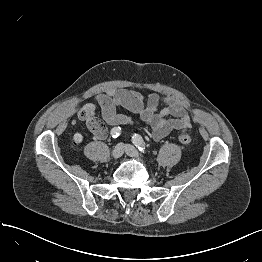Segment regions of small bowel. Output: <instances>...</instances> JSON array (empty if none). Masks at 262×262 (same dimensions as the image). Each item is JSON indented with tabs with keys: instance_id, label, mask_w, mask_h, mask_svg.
Instances as JSON below:
<instances>
[{
	"instance_id": "1",
	"label": "small bowel",
	"mask_w": 262,
	"mask_h": 262,
	"mask_svg": "<svg viewBox=\"0 0 262 262\" xmlns=\"http://www.w3.org/2000/svg\"><path fill=\"white\" fill-rule=\"evenodd\" d=\"M163 99L155 92L145 99L139 92L127 89L107 88L95 97L96 104L102 110L104 121L115 127L144 122L150 126L152 137L159 141L173 130L191 126V117L185 108V102L177 95L164 99L165 106L158 109ZM117 108H124L130 114L119 113ZM96 105L86 103L76 110L75 116L85 122L95 139H105L108 131L95 116Z\"/></svg>"
}]
</instances>
